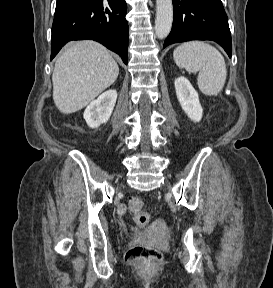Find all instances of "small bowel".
Segmentation results:
<instances>
[{
	"mask_svg": "<svg viewBox=\"0 0 273 288\" xmlns=\"http://www.w3.org/2000/svg\"><path fill=\"white\" fill-rule=\"evenodd\" d=\"M119 213H124L126 211V206L125 205H120L118 208Z\"/></svg>",
	"mask_w": 273,
	"mask_h": 288,
	"instance_id": "c3829d8e",
	"label": "small bowel"
}]
</instances>
